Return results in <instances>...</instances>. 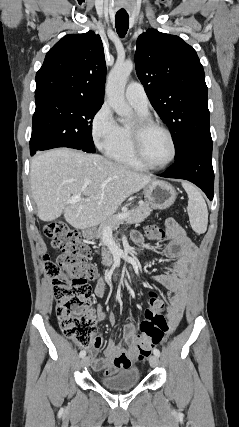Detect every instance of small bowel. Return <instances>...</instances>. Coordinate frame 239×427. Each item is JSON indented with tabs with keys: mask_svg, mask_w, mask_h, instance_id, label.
<instances>
[{
	"mask_svg": "<svg viewBox=\"0 0 239 427\" xmlns=\"http://www.w3.org/2000/svg\"><path fill=\"white\" fill-rule=\"evenodd\" d=\"M166 235L169 241L162 252L172 260V266L168 273L156 276L155 280L172 294L166 308L169 325L167 332L171 333L178 326L185 308L191 269L197 254V248L188 238L184 229L174 219L167 220ZM131 240L136 247L143 245V237L139 232H133ZM106 285L107 282L103 278L97 281L94 293L98 298L104 296ZM94 315L97 321L107 320L111 324L115 323L114 315L104 311L100 305L97 306ZM136 337V325L127 323L124 326L122 341L116 343L113 339H110L104 357H98L97 351L103 345V338L95 336L92 347L89 349L92 367L98 371H104L106 375L130 368L133 362L139 359Z\"/></svg>",
	"mask_w": 239,
	"mask_h": 427,
	"instance_id": "1",
	"label": "small bowel"
}]
</instances>
